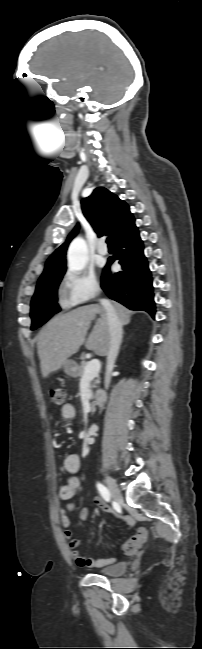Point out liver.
I'll return each mask as SVG.
<instances>
[{
    "mask_svg": "<svg viewBox=\"0 0 202 649\" xmlns=\"http://www.w3.org/2000/svg\"><path fill=\"white\" fill-rule=\"evenodd\" d=\"M113 306L122 325L128 324L131 312L121 304L115 303ZM96 315L100 317L85 346L99 356H107L110 333L103 306L89 305L60 313L53 317L38 335L37 348L43 377L46 378L51 372L60 369L70 356L77 353L85 342L90 323Z\"/></svg>",
    "mask_w": 202,
    "mask_h": 649,
    "instance_id": "1",
    "label": "liver"
}]
</instances>
